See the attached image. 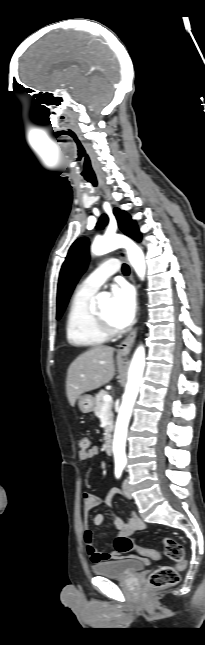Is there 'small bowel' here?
Returning a JSON list of instances; mask_svg holds the SVG:
<instances>
[{"label": "small bowel", "instance_id": "small-bowel-1", "mask_svg": "<svg viewBox=\"0 0 205 645\" xmlns=\"http://www.w3.org/2000/svg\"><path fill=\"white\" fill-rule=\"evenodd\" d=\"M98 455V447L92 446L87 451H80L78 453V459L80 461H87L91 458L97 457ZM120 494L121 492L118 488H112L106 498L103 500L101 497L95 494L84 492L82 494L84 513L85 515H87L92 508L104 503L107 506L108 511H101L97 513L93 518L94 525L97 527L100 526L103 523L105 515L108 512L113 520V524L118 532V536L132 537L133 534L142 531L145 528V523L133 511L127 519H123L113 511V499L115 496ZM84 543L87 553L93 563L117 560L122 558V554L118 553L115 549L110 552L98 550L93 543V531L88 525H85L84 528ZM136 558L144 563H148L147 558Z\"/></svg>", "mask_w": 205, "mask_h": 645}]
</instances>
